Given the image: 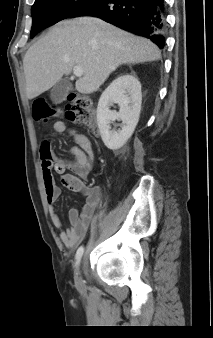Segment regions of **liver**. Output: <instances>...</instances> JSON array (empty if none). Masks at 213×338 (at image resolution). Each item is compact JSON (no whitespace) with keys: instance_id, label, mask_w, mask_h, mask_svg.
Wrapping results in <instances>:
<instances>
[{"instance_id":"1","label":"liver","mask_w":213,"mask_h":338,"mask_svg":"<svg viewBox=\"0 0 213 338\" xmlns=\"http://www.w3.org/2000/svg\"><path fill=\"white\" fill-rule=\"evenodd\" d=\"M161 58L150 40L123 31L94 17H80L55 25L26 52L23 59L26 95L34 99L79 66L83 76L79 93L91 94L123 64H139Z\"/></svg>"}]
</instances>
